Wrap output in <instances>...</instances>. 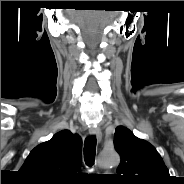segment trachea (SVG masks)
Instances as JSON below:
<instances>
[{
	"label": "trachea",
	"mask_w": 184,
	"mask_h": 184,
	"mask_svg": "<svg viewBox=\"0 0 184 184\" xmlns=\"http://www.w3.org/2000/svg\"><path fill=\"white\" fill-rule=\"evenodd\" d=\"M96 154V138L88 137L84 142V159L86 164L91 167L94 164Z\"/></svg>",
	"instance_id": "3493384b"
}]
</instances>
